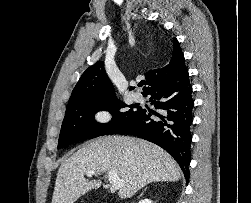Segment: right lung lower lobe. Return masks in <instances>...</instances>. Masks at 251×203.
Here are the masks:
<instances>
[{
	"label": "right lung lower lobe",
	"mask_w": 251,
	"mask_h": 203,
	"mask_svg": "<svg viewBox=\"0 0 251 203\" xmlns=\"http://www.w3.org/2000/svg\"><path fill=\"white\" fill-rule=\"evenodd\" d=\"M147 95L158 112L140 108L115 134L134 135L162 147L177 161L188 180L194 101L186 66L151 87L144 94Z\"/></svg>",
	"instance_id": "98d812e1"
}]
</instances>
